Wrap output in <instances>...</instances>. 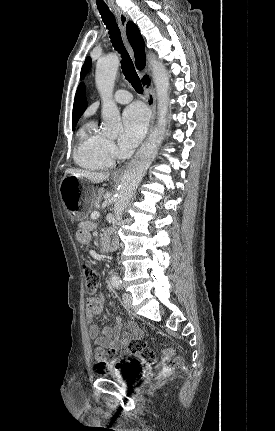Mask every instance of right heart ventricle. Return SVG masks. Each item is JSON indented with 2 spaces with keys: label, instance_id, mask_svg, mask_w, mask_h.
Here are the masks:
<instances>
[{
  "label": "right heart ventricle",
  "instance_id": "obj_1",
  "mask_svg": "<svg viewBox=\"0 0 275 431\" xmlns=\"http://www.w3.org/2000/svg\"><path fill=\"white\" fill-rule=\"evenodd\" d=\"M106 137L94 120H88L78 131V146L74 153L76 163L89 170H105L114 164V158L106 150Z\"/></svg>",
  "mask_w": 275,
  "mask_h": 431
}]
</instances>
